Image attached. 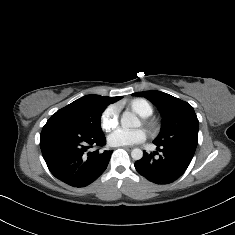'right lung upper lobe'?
<instances>
[{
  "label": "right lung upper lobe",
  "mask_w": 235,
  "mask_h": 235,
  "mask_svg": "<svg viewBox=\"0 0 235 235\" xmlns=\"http://www.w3.org/2000/svg\"><path fill=\"white\" fill-rule=\"evenodd\" d=\"M122 96L117 97H104L100 95H86L84 97L79 98L87 107L93 111H104V109L110 103H114L120 100Z\"/></svg>",
  "instance_id": "obj_1"
}]
</instances>
